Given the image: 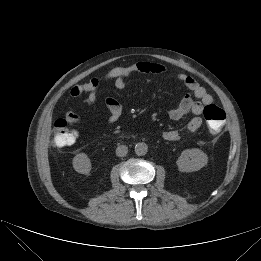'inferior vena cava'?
I'll return each instance as SVG.
<instances>
[{
    "instance_id": "obj_1",
    "label": "inferior vena cava",
    "mask_w": 261,
    "mask_h": 261,
    "mask_svg": "<svg viewBox=\"0 0 261 261\" xmlns=\"http://www.w3.org/2000/svg\"><path fill=\"white\" fill-rule=\"evenodd\" d=\"M128 153V148L125 145H120L116 149V155L118 157H124Z\"/></svg>"
}]
</instances>
